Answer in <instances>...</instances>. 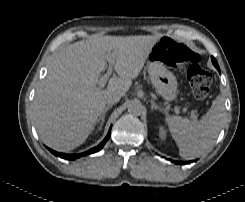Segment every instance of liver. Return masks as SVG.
I'll use <instances>...</instances> for the list:
<instances>
[{
	"mask_svg": "<svg viewBox=\"0 0 245 202\" xmlns=\"http://www.w3.org/2000/svg\"><path fill=\"white\" fill-rule=\"evenodd\" d=\"M157 40L150 35H93L62 48L40 83L32 106L42 142L62 152L83 144L98 123L107 94H126ZM110 52L115 53L113 66L120 77L111 78L102 90L97 84Z\"/></svg>",
	"mask_w": 245,
	"mask_h": 202,
	"instance_id": "liver-1",
	"label": "liver"
}]
</instances>
